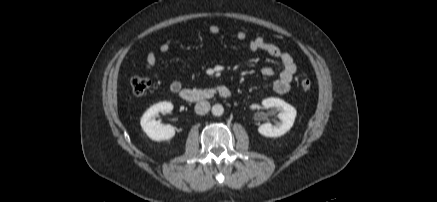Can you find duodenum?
Returning <instances> with one entry per match:
<instances>
[{"label":"duodenum","mask_w":437,"mask_h":202,"mask_svg":"<svg viewBox=\"0 0 437 202\" xmlns=\"http://www.w3.org/2000/svg\"><path fill=\"white\" fill-rule=\"evenodd\" d=\"M181 99L187 102H200L209 100L214 97L229 98L231 91L227 86L220 85L214 88L196 89V88H183L179 91Z\"/></svg>","instance_id":"obj_1"}]
</instances>
